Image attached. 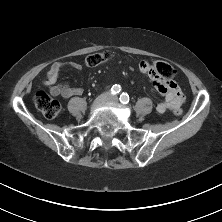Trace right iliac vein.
Listing matches in <instances>:
<instances>
[{"label":"right iliac vein","instance_id":"obj_1","mask_svg":"<svg viewBox=\"0 0 222 222\" xmlns=\"http://www.w3.org/2000/svg\"><path fill=\"white\" fill-rule=\"evenodd\" d=\"M108 100H109V96L107 93L101 94L93 102L92 108L95 109V108L105 104Z\"/></svg>","mask_w":222,"mask_h":222}]
</instances>
